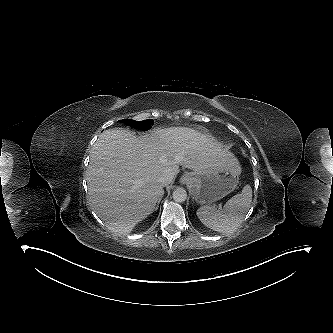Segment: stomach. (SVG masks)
<instances>
[{"mask_svg":"<svg viewBox=\"0 0 333 333\" xmlns=\"http://www.w3.org/2000/svg\"><path fill=\"white\" fill-rule=\"evenodd\" d=\"M241 168L216 167L202 172L186 173L182 181L188 184L193 199L200 205L211 204L231 193L238 184Z\"/></svg>","mask_w":333,"mask_h":333,"instance_id":"1","label":"stomach"}]
</instances>
